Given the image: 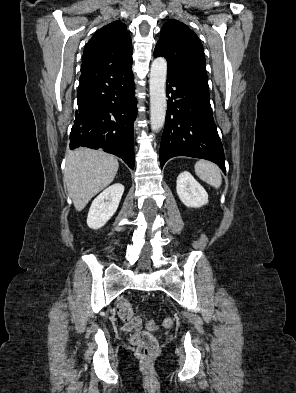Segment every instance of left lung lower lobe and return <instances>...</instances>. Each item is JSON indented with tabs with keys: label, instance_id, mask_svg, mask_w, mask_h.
I'll return each instance as SVG.
<instances>
[{
	"label": "left lung lower lobe",
	"instance_id": "left-lung-lower-lobe-1",
	"mask_svg": "<svg viewBox=\"0 0 296 393\" xmlns=\"http://www.w3.org/2000/svg\"><path fill=\"white\" fill-rule=\"evenodd\" d=\"M168 108L160 145L161 167L175 156L202 158L225 173V156L209 99L208 78L167 72Z\"/></svg>",
	"mask_w": 296,
	"mask_h": 393
}]
</instances>
